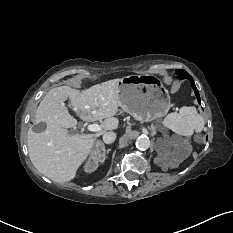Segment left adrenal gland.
<instances>
[{"instance_id": "1", "label": "left adrenal gland", "mask_w": 233, "mask_h": 233, "mask_svg": "<svg viewBox=\"0 0 233 233\" xmlns=\"http://www.w3.org/2000/svg\"><path fill=\"white\" fill-rule=\"evenodd\" d=\"M151 133H152L153 136L156 134V131H155L154 127L151 128Z\"/></svg>"}]
</instances>
